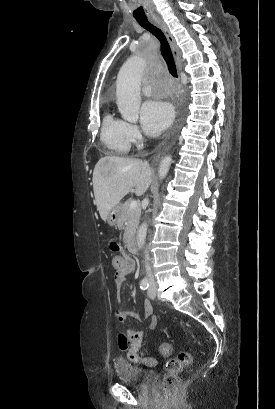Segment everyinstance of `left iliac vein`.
<instances>
[{
  "mask_svg": "<svg viewBox=\"0 0 275 409\" xmlns=\"http://www.w3.org/2000/svg\"><path fill=\"white\" fill-rule=\"evenodd\" d=\"M147 295L151 299H154L156 297V283L155 282H152L150 284V287L147 291Z\"/></svg>",
  "mask_w": 275,
  "mask_h": 409,
  "instance_id": "1",
  "label": "left iliac vein"
}]
</instances>
